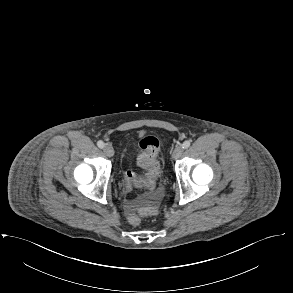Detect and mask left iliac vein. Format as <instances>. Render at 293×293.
<instances>
[{
  "label": "left iliac vein",
  "instance_id": "obj_1",
  "mask_svg": "<svg viewBox=\"0 0 293 293\" xmlns=\"http://www.w3.org/2000/svg\"><path fill=\"white\" fill-rule=\"evenodd\" d=\"M183 151H184V148L183 146H176V148L173 150L172 152V158L173 159H178L182 156L183 154Z\"/></svg>",
  "mask_w": 293,
  "mask_h": 293
}]
</instances>
